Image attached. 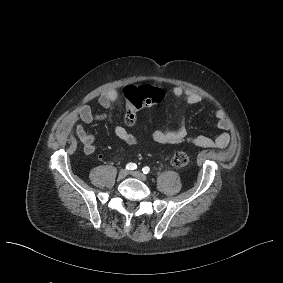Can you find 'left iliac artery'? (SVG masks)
<instances>
[{
    "label": "left iliac artery",
    "mask_w": 283,
    "mask_h": 283,
    "mask_svg": "<svg viewBox=\"0 0 283 283\" xmlns=\"http://www.w3.org/2000/svg\"><path fill=\"white\" fill-rule=\"evenodd\" d=\"M142 171L144 174H148L150 172V168L148 166H145Z\"/></svg>",
    "instance_id": "44dca946"
}]
</instances>
